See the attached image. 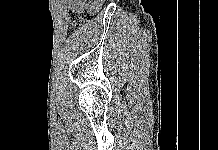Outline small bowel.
Wrapping results in <instances>:
<instances>
[{
  "label": "small bowel",
  "instance_id": "c3829d8e",
  "mask_svg": "<svg viewBox=\"0 0 218 150\" xmlns=\"http://www.w3.org/2000/svg\"><path fill=\"white\" fill-rule=\"evenodd\" d=\"M104 0H68L70 7L98 9Z\"/></svg>",
  "mask_w": 218,
  "mask_h": 150
}]
</instances>
